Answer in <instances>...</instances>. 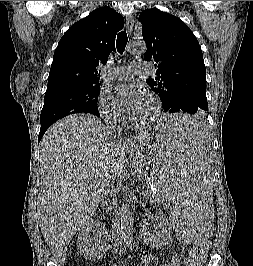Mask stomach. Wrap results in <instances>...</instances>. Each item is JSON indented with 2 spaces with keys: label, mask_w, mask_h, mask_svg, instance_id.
I'll return each instance as SVG.
<instances>
[{
  "label": "stomach",
  "mask_w": 253,
  "mask_h": 266,
  "mask_svg": "<svg viewBox=\"0 0 253 266\" xmlns=\"http://www.w3.org/2000/svg\"><path fill=\"white\" fill-rule=\"evenodd\" d=\"M157 145H160L159 135H156L153 142L146 138L139 140L130 146L131 154L140 162L150 164L153 159V150H157Z\"/></svg>",
  "instance_id": "stomach-1"
}]
</instances>
